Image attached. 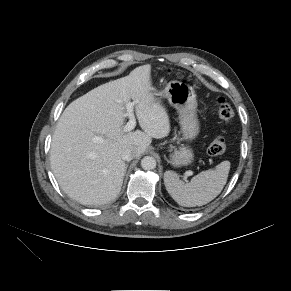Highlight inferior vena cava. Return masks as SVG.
<instances>
[{
  "instance_id": "602c4592",
  "label": "inferior vena cava",
  "mask_w": 291,
  "mask_h": 291,
  "mask_svg": "<svg viewBox=\"0 0 291 291\" xmlns=\"http://www.w3.org/2000/svg\"><path fill=\"white\" fill-rule=\"evenodd\" d=\"M133 158H135V152L132 149H126L122 153V159L124 161H131Z\"/></svg>"
}]
</instances>
